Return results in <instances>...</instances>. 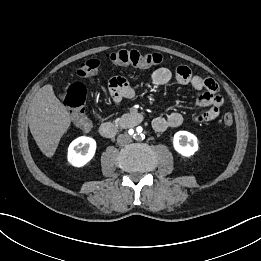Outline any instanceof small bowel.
Returning <instances> with one entry per match:
<instances>
[{"mask_svg": "<svg viewBox=\"0 0 261 261\" xmlns=\"http://www.w3.org/2000/svg\"><path fill=\"white\" fill-rule=\"evenodd\" d=\"M151 80L155 85H165L174 80L178 85H189L196 91H202L197 99V104L206 108V110L195 115L193 121L207 122L218 117L223 99L219 95V87L214 80L193 75L190 69L184 65L179 66L175 74L168 68H158L152 73ZM109 92L111 99L115 103L122 99L131 98L134 95V90L122 77H114L110 80ZM182 123L183 116L178 112H172L167 116L156 117L152 122V126L155 131L163 132L168 128L179 127Z\"/></svg>", "mask_w": 261, "mask_h": 261, "instance_id": "1", "label": "small bowel"}]
</instances>
